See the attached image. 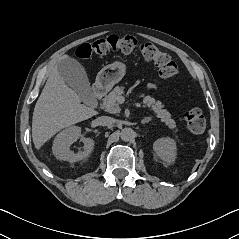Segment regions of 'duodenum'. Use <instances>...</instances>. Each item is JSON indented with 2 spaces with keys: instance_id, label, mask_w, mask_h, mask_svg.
<instances>
[{
  "instance_id": "410a0bca",
  "label": "duodenum",
  "mask_w": 239,
  "mask_h": 239,
  "mask_svg": "<svg viewBox=\"0 0 239 239\" xmlns=\"http://www.w3.org/2000/svg\"><path fill=\"white\" fill-rule=\"evenodd\" d=\"M106 93V88L99 84V85H96L94 88H93V97L95 99H100L101 97L104 96V94Z\"/></svg>"
}]
</instances>
